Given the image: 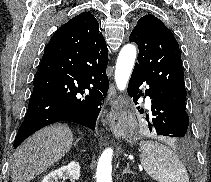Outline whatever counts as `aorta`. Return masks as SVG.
I'll return each mask as SVG.
<instances>
[{"label":"aorta","mask_w":211,"mask_h":182,"mask_svg":"<svg viewBox=\"0 0 211 182\" xmlns=\"http://www.w3.org/2000/svg\"><path fill=\"white\" fill-rule=\"evenodd\" d=\"M136 47L132 44H127L122 47L115 68V82L120 91H124L127 87L135 59ZM112 156L113 149L107 148L99 157L96 171L97 182H112Z\"/></svg>","instance_id":"762f6f07"}]
</instances>
